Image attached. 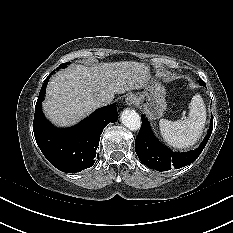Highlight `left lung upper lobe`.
<instances>
[{
    "label": "left lung upper lobe",
    "mask_w": 233,
    "mask_h": 233,
    "mask_svg": "<svg viewBox=\"0 0 233 233\" xmlns=\"http://www.w3.org/2000/svg\"><path fill=\"white\" fill-rule=\"evenodd\" d=\"M199 84L202 85V86H206L205 82L203 80H201L200 78H199Z\"/></svg>",
    "instance_id": "obj_1"
}]
</instances>
